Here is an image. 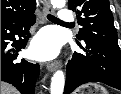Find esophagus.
I'll use <instances>...</instances> for the list:
<instances>
[{
	"label": "esophagus",
	"instance_id": "esophagus-1",
	"mask_svg": "<svg viewBox=\"0 0 121 94\" xmlns=\"http://www.w3.org/2000/svg\"><path fill=\"white\" fill-rule=\"evenodd\" d=\"M52 12H53V8L49 0H44V7H43L44 17H46L47 14H50ZM59 66H60V62L54 61V62L48 63L46 68L49 72H54Z\"/></svg>",
	"mask_w": 121,
	"mask_h": 94
}]
</instances>
